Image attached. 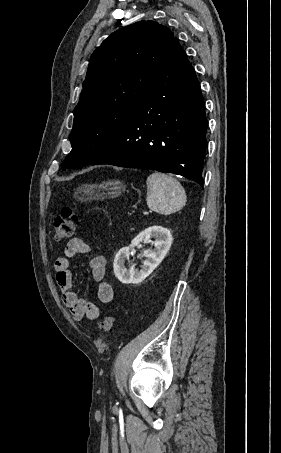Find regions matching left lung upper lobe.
I'll return each mask as SVG.
<instances>
[{
	"label": "left lung upper lobe",
	"instance_id": "5c2ea615",
	"mask_svg": "<svg viewBox=\"0 0 281 453\" xmlns=\"http://www.w3.org/2000/svg\"><path fill=\"white\" fill-rule=\"evenodd\" d=\"M173 44L167 27L140 21L112 33L94 51L74 109L72 150L63 170L85 167L105 151L163 68Z\"/></svg>",
	"mask_w": 281,
	"mask_h": 453
}]
</instances>
